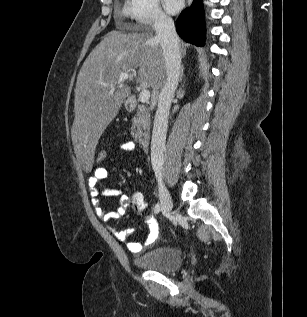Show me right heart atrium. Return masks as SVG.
I'll list each match as a JSON object with an SVG mask.
<instances>
[{
    "mask_svg": "<svg viewBox=\"0 0 307 317\" xmlns=\"http://www.w3.org/2000/svg\"><path fill=\"white\" fill-rule=\"evenodd\" d=\"M126 14L144 26L158 27L170 21L161 9L159 0H128Z\"/></svg>",
    "mask_w": 307,
    "mask_h": 317,
    "instance_id": "1",
    "label": "right heart atrium"
}]
</instances>
